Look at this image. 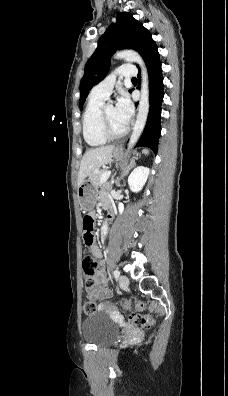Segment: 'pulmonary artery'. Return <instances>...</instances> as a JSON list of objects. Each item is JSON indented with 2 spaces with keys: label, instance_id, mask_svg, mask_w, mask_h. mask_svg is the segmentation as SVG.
I'll list each match as a JSON object with an SVG mask.
<instances>
[{
  "label": "pulmonary artery",
  "instance_id": "e3ab8cb5",
  "mask_svg": "<svg viewBox=\"0 0 228 396\" xmlns=\"http://www.w3.org/2000/svg\"><path fill=\"white\" fill-rule=\"evenodd\" d=\"M136 75L137 70L134 66L122 65L116 71L105 77L101 82L96 84L93 87L91 93L96 96L107 98L112 92L117 76L130 79L135 77Z\"/></svg>",
  "mask_w": 228,
  "mask_h": 396
}]
</instances>
